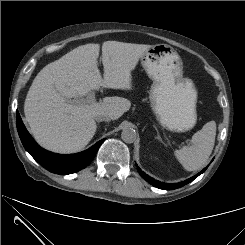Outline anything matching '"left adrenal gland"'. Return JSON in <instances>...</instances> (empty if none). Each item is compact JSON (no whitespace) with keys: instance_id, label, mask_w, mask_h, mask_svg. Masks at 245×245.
<instances>
[{"instance_id":"obj_1","label":"left adrenal gland","mask_w":245,"mask_h":245,"mask_svg":"<svg viewBox=\"0 0 245 245\" xmlns=\"http://www.w3.org/2000/svg\"><path fill=\"white\" fill-rule=\"evenodd\" d=\"M154 128H155V130H156V132H157V136H156L155 138L158 139L160 142H162L164 145H166V144L164 143V141L162 140L161 136L159 135L158 129L156 128L155 125H154Z\"/></svg>"}]
</instances>
